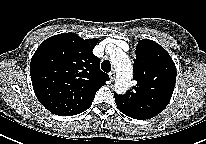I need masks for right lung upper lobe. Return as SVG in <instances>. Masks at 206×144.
Listing matches in <instances>:
<instances>
[{"instance_id":"1","label":"right lung upper lobe","mask_w":206,"mask_h":144,"mask_svg":"<svg viewBox=\"0 0 206 144\" xmlns=\"http://www.w3.org/2000/svg\"><path fill=\"white\" fill-rule=\"evenodd\" d=\"M97 39L63 33L45 40L34 53L30 75L36 97L60 116L81 113L92 104L96 91L109 80L92 50Z\"/></svg>"}]
</instances>
